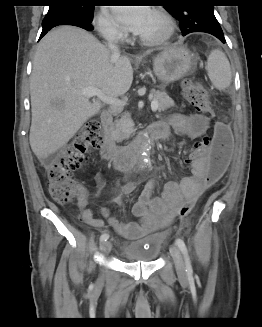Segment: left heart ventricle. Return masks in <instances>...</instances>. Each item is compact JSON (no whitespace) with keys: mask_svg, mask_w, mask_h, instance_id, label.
<instances>
[{"mask_svg":"<svg viewBox=\"0 0 262 327\" xmlns=\"http://www.w3.org/2000/svg\"><path fill=\"white\" fill-rule=\"evenodd\" d=\"M163 31L164 26L162 22L153 12H151L143 29L138 34L142 36H158L162 34Z\"/></svg>","mask_w":262,"mask_h":327,"instance_id":"obj_1","label":"left heart ventricle"}]
</instances>
